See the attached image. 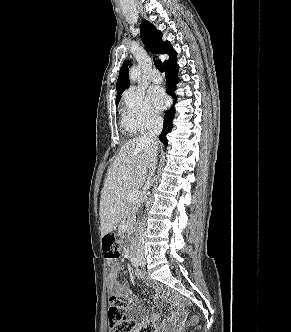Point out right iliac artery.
Listing matches in <instances>:
<instances>
[{
	"label": "right iliac artery",
	"instance_id": "1",
	"mask_svg": "<svg viewBox=\"0 0 291 332\" xmlns=\"http://www.w3.org/2000/svg\"><path fill=\"white\" fill-rule=\"evenodd\" d=\"M131 261H132V264H133L134 267H138L139 266V260H138L137 257H133L131 259Z\"/></svg>",
	"mask_w": 291,
	"mask_h": 332
}]
</instances>
